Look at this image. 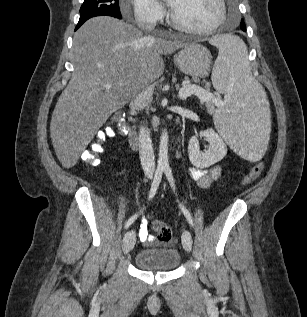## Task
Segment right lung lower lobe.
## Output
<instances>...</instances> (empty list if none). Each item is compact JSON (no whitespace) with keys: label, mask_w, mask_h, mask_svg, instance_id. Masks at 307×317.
I'll return each instance as SVG.
<instances>
[{"label":"right lung lower lobe","mask_w":307,"mask_h":317,"mask_svg":"<svg viewBox=\"0 0 307 317\" xmlns=\"http://www.w3.org/2000/svg\"><path fill=\"white\" fill-rule=\"evenodd\" d=\"M84 22H78V25L75 30H77Z\"/></svg>","instance_id":"right-lung-lower-lobe-1"}]
</instances>
